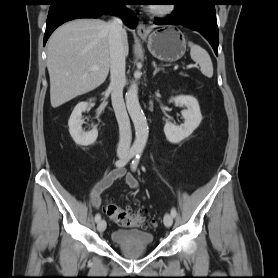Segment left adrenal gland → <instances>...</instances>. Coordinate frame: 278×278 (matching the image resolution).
Returning <instances> with one entry per match:
<instances>
[{
	"instance_id": "a2214340",
	"label": "left adrenal gland",
	"mask_w": 278,
	"mask_h": 278,
	"mask_svg": "<svg viewBox=\"0 0 278 278\" xmlns=\"http://www.w3.org/2000/svg\"><path fill=\"white\" fill-rule=\"evenodd\" d=\"M152 65L154 67V72H153V76H155L160 70H163V68L157 67L155 61L152 62Z\"/></svg>"
}]
</instances>
